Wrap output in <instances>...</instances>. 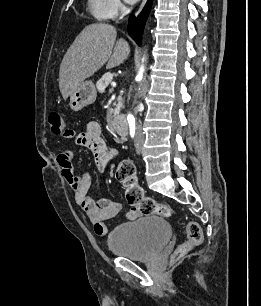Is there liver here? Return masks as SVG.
<instances>
[{
	"instance_id": "liver-1",
	"label": "liver",
	"mask_w": 261,
	"mask_h": 306,
	"mask_svg": "<svg viewBox=\"0 0 261 306\" xmlns=\"http://www.w3.org/2000/svg\"><path fill=\"white\" fill-rule=\"evenodd\" d=\"M116 36L112 25L96 23L86 26L76 37L59 70V88L64 100L106 63V68L111 69L128 58V42L122 38L116 42Z\"/></svg>"
}]
</instances>
